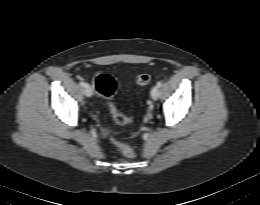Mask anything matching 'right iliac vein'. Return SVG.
Returning a JSON list of instances; mask_svg holds the SVG:
<instances>
[{
  "instance_id": "obj_1",
  "label": "right iliac vein",
  "mask_w": 260,
  "mask_h": 205,
  "mask_svg": "<svg viewBox=\"0 0 260 205\" xmlns=\"http://www.w3.org/2000/svg\"><path fill=\"white\" fill-rule=\"evenodd\" d=\"M84 93L87 97H91L93 94L92 88L87 84V86L84 89Z\"/></svg>"
}]
</instances>
